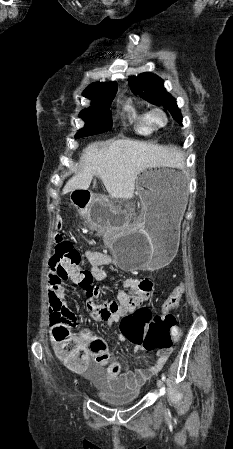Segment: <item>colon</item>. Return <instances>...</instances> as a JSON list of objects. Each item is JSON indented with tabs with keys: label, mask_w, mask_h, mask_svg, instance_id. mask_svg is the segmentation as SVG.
<instances>
[{
	"label": "colon",
	"mask_w": 233,
	"mask_h": 449,
	"mask_svg": "<svg viewBox=\"0 0 233 449\" xmlns=\"http://www.w3.org/2000/svg\"><path fill=\"white\" fill-rule=\"evenodd\" d=\"M60 223L57 224V229ZM61 273L69 268L78 269V275L83 276L80 281L82 286L87 287L88 296L93 302L91 293L94 288L90 285L88 270L83 266L79 251L62 236L55 237L54 251L50 259ZM185 283L180 281L174 284L172 292L161 305V313L153 315L152 310L146 307L133 312L120 323V338H126L127 343H138L139 349L147 351L169 352L174 342L178 341L181 333L176 326V318L170 313L180 302L185 294ZM107 316V315H106ZM52 326V337L59 344L58 356L70 367L82 369L85 361L75 350L71 341V332L76 325V316L63 309L53 311L50 317ZM148 322V326L144 325ZM91 350L98 360H104L108 356L107 345L103 340H95L91 343Z\"/></svg>",
	"instance_id": "colon-1"
}]
</instances>
